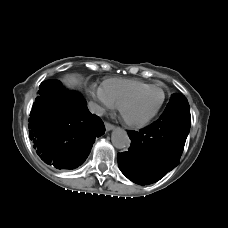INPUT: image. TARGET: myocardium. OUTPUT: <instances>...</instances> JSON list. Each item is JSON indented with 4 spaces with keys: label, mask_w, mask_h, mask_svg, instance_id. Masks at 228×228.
Wrapping results in <instances>:
<instances>
[{
    "label": "myocardium",
    "mask_w": 228,
    "mask_h": 228,
    "mask_svg": "<svg viewBox=\"0 0 228 228\" xmlns=\"http://www.w3.org/2000/svg\"><path fill=\"white\" fill-rule=\"evenodd\" d=\"M152 89H157L160 90L162 93V99L159 103V105L157 106V108L147 117L141 119V120H131L128 117L125 116L124 114V107L126 106V104H128L129 102H131L133 99H135L136 97H138L139 95L143 94L144 92L148 91V90H152ZM165 92L163 91V89L159 86L156 85H150L148 87H145L143 89L137 90L133 93H131L130 95L126 96L118 105V109L119 112L122 116V118L124 119V121L131 127H143L146 124H148L160 111V109L162 108L164 102H165Z\"/></svg>",
    "instance_id": "1"
}]
</instances>
